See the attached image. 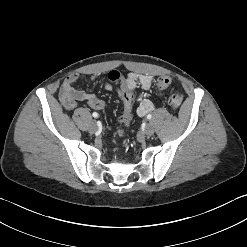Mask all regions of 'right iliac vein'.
<instances>
[{
    "instance_id": "right-iliac-vein-1",
    "label": "right iliac vein",
    "mask_w": 247,
    "mask_h": 247,
    "mask_svg": "<svg viewBox=\"0 0 247 247\" xmlns=\"http://www.w3.org/2000/svg\"><path fill=\"white\" fill-rule=\"evenodd\" d=\"M89 130L91 133H96L98 131V125H97L96 121L91 122Z\"/></svg>"
}]
</instances>
